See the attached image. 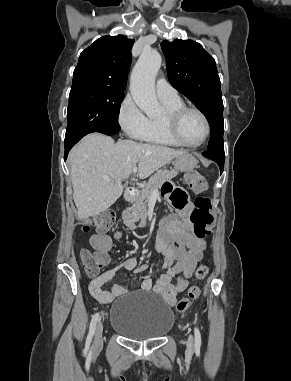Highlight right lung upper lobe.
<instances>
[{
	"mask_svg": "<svg viewBox=\"0 0 291 381\" xmlns=\"http://www.w3.org/2000/svg\"><path fill=\"white\" fill-rule=\"evenodd\" d=\"M133 43V39H127L123 35L97 39L80 54L72 87L125 90Z\"/></svg>",
	"mask_w": 291,
	"mask_h": 381,
	"instance_id": "right-lung-upper-lobe-1",
	"label": "right lung upper lobe"
}]
</instances>
